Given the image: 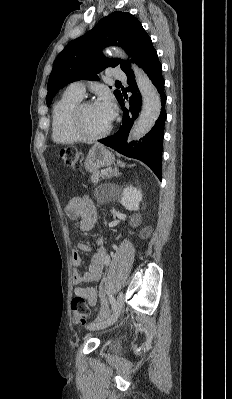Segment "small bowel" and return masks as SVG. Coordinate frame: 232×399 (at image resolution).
Masks as SVG:
<instances>
[{
    "label": "small bowel",
    "mask_w": 232,
    "mask_h": 399,
    "mask_svg": "<svg viewBox=\"0 0 232 399\" xmlns=\"http://www.w3.org/2000/svg\"><path fill=\"white\" fill-rule=\"evenodd\" d=\"M69 215L79 216V229L84 232H92L97 215L96 204L88 197H79L72 199L65 208ZM95 243L102 244L104 239L102 236H94ZM79 250L84 251L88 248L85 241H79L77 244ZM71 264L78 266L81 262L80 256L76 251H71L69 254ZM106 256L103 251L95 252L88 266V271L85 273H75L73 275V282L75 284L84 283L87 281H97L102 275V265L105 262ZM73 295L78 298H85L90 307H97V289L95 286L88 288L79 285L73 287Z\"/></svg>",
    "instance_id": "1"
}]
</instances>
